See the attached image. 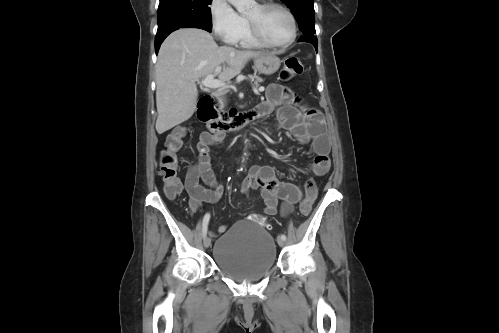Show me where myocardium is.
I'll use <instances>...</instances> for the list:
<instances>
[{
    "label": "myocardium",
    "instance_id": "myocardium-1",
    "mask_svg": "<svg viewBox=\"0 0 499 333\" xmlns=\"http://www.w3.org/2000/svg\"><path fill=\"white\" fill-rule=\"evenodd\" d=\"M258 7L260 8V10H263V11L271 9V8L281 9L290 19L291 35H290L289 39L283 43H272V42L268 41L266 39V37L263 35L258 23L246 17L247 24H248V27H249V30H250L252 37L258 43H260L262 46L268 47V48L283 49V48H287L291 44H293L297 38V22H296V18L294 16V14L292 13V11L287 6L283 5L282 3L271 1V0L259 3Z\"/></svg>",
    "mask_w": 499,
    "mask_h": 333
}]
</instances>
